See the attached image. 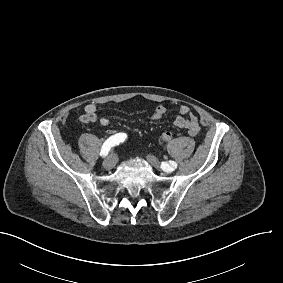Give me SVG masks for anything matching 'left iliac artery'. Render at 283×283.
I'll return each mask as SVG.
<instances>
[{
	"mask_svg": "<svg viewBox=\"0 0 283 283\" xmlns=\"http://www.w3.org/2000/svg\"><path fill=\"white\" fill-rule=\"evenodd\" d=\"M170 165L173 167V168H176L177 167V163L174 162V161H170ZM167 165H163V167H165Z\"/></svg>",
	"mask_w": 283,
	"mask_h": 283,
	"instance_id": "1",
	"label": "left iliac artery"
}]
</instances>
